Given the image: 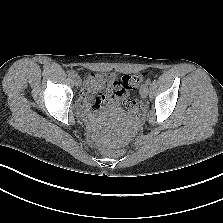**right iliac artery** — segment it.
<instances>
[{"label": "right iliac artery", "mask_w": 223, "mask_h": 223, "mask_svg": "<svg viewBox=\"0 0 223 223\" xmlns=\"http://www.w3.org/2000/svg\"><path fill=\"white\" fill-rule=\"evenodd\" d=\"M68 75H69L70 77H74V76L76 75V73H75L74 71H70V72L68 73Z\"/></svg>", "instance_id": "obj_1"}]
</instances>
